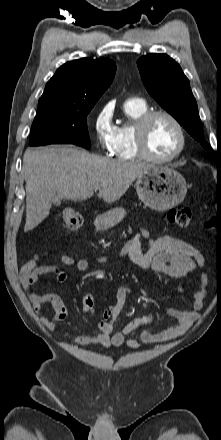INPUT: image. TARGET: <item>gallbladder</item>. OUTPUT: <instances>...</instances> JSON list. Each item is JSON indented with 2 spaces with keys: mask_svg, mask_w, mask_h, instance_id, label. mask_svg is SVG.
<instances>
[{
  "mask_svg": "<svg viewBox=\"0 0 221 440\" xmlns=\"http://www.w3.org/2000/svg\"><path fill=\"white\" fill-rule=\"evenodd\" d=\"M60 204H61L60 200L54 202V205L56 206H59Z\"/></svg>",
  "mask_w": 221,
  "mask_h": 440,
  "instance_id": "bac80fb5",
  "label": "gallbladder"
}]
</instances>
